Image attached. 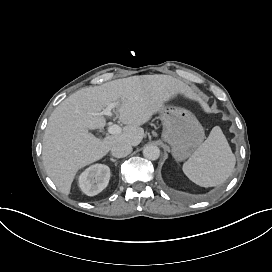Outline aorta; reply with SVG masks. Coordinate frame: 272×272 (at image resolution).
<instances>
[{
	"label": "aorta",
	"instance_id": "obj_1",
	"mask_svg": "<svg viewBox=\"0 0 272 272\" xmlns=\"http://www.w3.org/2000/svg\"><path fill=\"white\" fill-rule=\"evenodd\" d=\"M143 155L148 160L155 161L160 156V150L157 146L154 145H148L143 150Z\"/></svg>",
	"mask_w": 272,
	"mask_h": 272
}]
</instances>
